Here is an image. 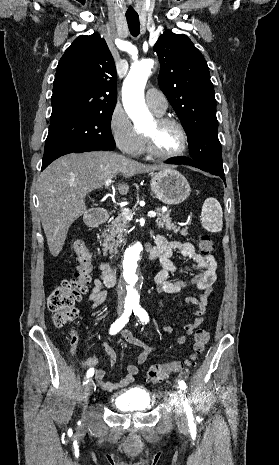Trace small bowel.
I'll use <instances>...</instances> for the list:
<instances>
[{
    "instance_id": "obj_1",
    "label": "small bowel",
    "mask_w": 279,
    "mask_h": 465,
    "mask_svg": "<svg viewBox=\"0 0 279 465\" xmlns=\"http://www.w3.org/2000/svg\"><path fill=\"white\" fill-rule=\"evenodd\" d=\"M154 248L158 252V272L155 276V282L159 292L166 294L180 293L188 286H192L202 292L199 297L186 298V303L195 306L197 310L195 311L196 318L184 325L182 334L178 337V343L184 344L187 337L193 334L194 330L203 323V314L207 306V298L211 294L217 278V262L212 255L197 252L190 242L168 241L165 237L160 235L155 238ZM175 252L187 259L188 264L185 266H177L172 261V256ZM107 267V264H101L100 269L102 271V276L94 280L93 288L88 299L93 308L100 306L107 299L105 287L108 286H106L103 279ZM191 272H194L195 276L190 283H185L173 278L176 273L188 274ZM172 331L173 326L162 327L163 334H169ZM122 335L129 344L139 347L140 353L136 362L127 366V374L120 381L111 383L105 379V370L97 368V356L89 357L84 364L85 367L94 370L95 380L99 387L106 392L129 386L134 381V377L138 374L140 367L147 361L152 351L155 349V346L143 342L128 330L123 331ZM103 347L108 356L110 365L114 366L116 362V352L114 348L108 341L103 342Z\"/></svg>"
}]
</instances>
